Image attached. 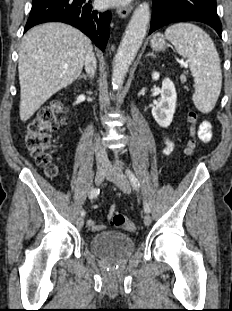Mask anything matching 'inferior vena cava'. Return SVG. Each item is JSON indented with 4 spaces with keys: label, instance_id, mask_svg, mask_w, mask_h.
I'll use <instances>...</instances> for the list:
<instances>
[{
    "label": "inferior vena cava",
    "instance_id": "inferior-vena-cava-1",
    "mask_svg": "<svg viewBox=\"0 0 232 311\" xmlns=\"http://www.w3.org/2000/svg\"><path fill=\"white\" fill-rule=\"evenodd\" d=\"M85 70L90 75V77L94 75L96 70V58L92 51V47H90L86 53ZM95 155L98 166H108L110 164L107 153L105 149L100 146L99 140H96Z\"/></svg>",
    "mask_w": 232,
    "mask_h": 311
}]
</instances>
